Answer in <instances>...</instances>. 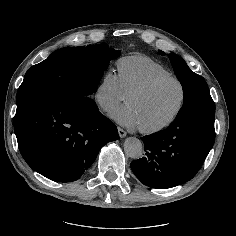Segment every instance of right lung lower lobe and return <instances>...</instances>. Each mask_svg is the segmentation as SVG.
<instances>
[{"mask_svg":"<svg viewBox=\"0 0 236 236\" xmlns=\"http://www.w3.org/2000/svg\"><path fill=\"white\" fill-rule=\"evenodd\" d=\"M14 130L27 164L57 182L78 180L100 149L119 138L94 100L75 94L38 99L17 109Z\"/></svg>","mask_w":236,"mask_h":236,"instance_id":"98d812e1","label":"right lung lower lobe"}]
</instances>
